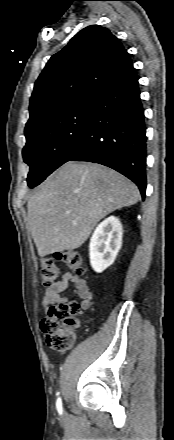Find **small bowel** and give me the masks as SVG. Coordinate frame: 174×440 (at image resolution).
<instances>
[{
    "instance_id": "small-bowel-1",
    "label": "small bowel",
    "mask_w": 174,
    "mask_h": 440,
    "mask_svg": "<svg viewBox=\"0 0 174 440\" xmlns=\"http://www.w3.org/2000/svg\"><path fill=\"white\" fill-rule=\"evenodd\" d=\"M70 284L73 286V296H64L63 292L66 291ZM74 296L82 299L81 308L83 310L90 307L92 294L87 281L70 272H65L60 280L46 287L42 298V305L47 310L50 306L69 303L73 300Z\"/></svg>"
}]
</instances>
